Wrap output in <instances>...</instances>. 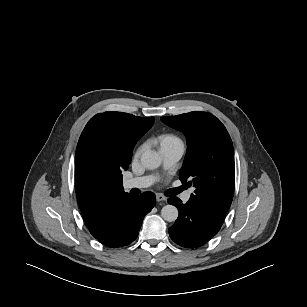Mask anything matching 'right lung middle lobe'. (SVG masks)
I'll return each mask as SVG.
<instances>
[{
	"label": "right lung middle lobe",
	"instance_id": "obj_1",
	"mask_svg": "<svg viewBox=\"0 0 307 307\" xmlns=\"http://www.w3.org/2000/svg\"><path fill=\"white\" fill-rule=\"evenodd\" d=\"M135 144L136 142H131L125 147H121V145L112 147L109 152L112 161L118 166L120 164H124L126 165V168H128V165L131 162L132 151Z\"/></svg>",
	"mask_w": 307,
	"mask_h": 307
}]
</instances>
